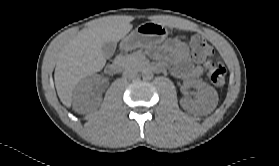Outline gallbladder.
<instances>
[{"instance_id":"gallbladder-1","label":"gallbladder","mask_w":279,"mask_h":166,"mask_svg":"<svg viewBox=\"0 0 279 166\" xmlns=\"http://www.w3.org/2000/svg\"><path fill=\"white\" fill-rule=\"evenodd\" d=\"M116 50V42L107 41L102 44V52L105 58H110Z\"/></svg>"}]
</instances>
